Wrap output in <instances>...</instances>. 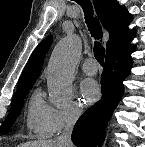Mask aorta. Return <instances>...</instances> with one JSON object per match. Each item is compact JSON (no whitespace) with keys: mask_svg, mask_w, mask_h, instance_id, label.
<instances>
[{"mask_svg":"<svg viewBox=\"0 0 145 147\" xmlns=\"http://www.w3.org/2000/svg\"><path fill=\"white\" fill-rule=\"evenodd\" d=\"M82 44L77 35L62 39L54 48L47 74L50 99L54 104L66 102L71 94L73 73L81 56Z\"/></svg>","mask_w":145,"mask_h":147,"instance_id":"762f6f07","label":"aorta"}]
</instances>
